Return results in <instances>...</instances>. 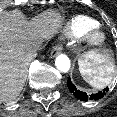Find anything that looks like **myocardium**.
Masks as SVG:
<instances>
[{
  "label": "myocardium",
  "instance_id": "obj_1",
  "mask_svg": "<svg viewBox=\"0 0 117 117\" xmlns=\"http://www.w3.org/2000/svg\"><path fill=\"white\" fill-rule=\"evenodd\" d=\"M80 37L86 47H98L106 41V33L99 25L89 28Z\"/></svg>",
  "mask_w": 117,
  "mask_h": 117
}]
</instances>
